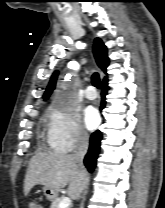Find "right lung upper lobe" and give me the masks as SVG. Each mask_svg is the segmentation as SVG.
<instances>
[{
  "mask_svg": "<svg viewBox=\"0 0 165 208\" xmlns=\"http://www.w3.org/2000/svg\"><path fill=\"white\" fill-rule=\"evenodd\" d=\"M93 53H94V57L98 66L104 72H106V67L109 64V60L107 58V49H106V46L102 43L101 39L99 38L95 39L94 46H93ZM57 76H58V72H54V74L51 77L50 83L44 93V96H43L44 99H47L52 93V91L54 90ZM106 79L107 78H104V80Z\"/></svg>",
  "mask_w": 165,
  "mask_h": 208,
  "instance_id": "1",
  "label": "right lung upper lobe"
}]
</instances>
